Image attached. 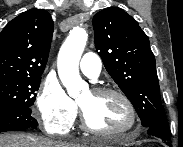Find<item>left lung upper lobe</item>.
Wrapping results in <instances>:
<instances>
[{"mask_svg": "<svg viewBox=\"0 0 183 147\" xmlns=\"http://www.w3.org/2000/svg\"><path fill=\"white\" fill-rule=\"evenodd\" d=\"M93 27L95 47L105 68L134 105L142 125L169 130L155 57L137 21L124 10L113 7L96 13Z\"/></svg>", "mask_w": 183, "mask_h": 147, "instance_id": "5c2ea615", "label": "left lung upper lobe"}]
</instances>
